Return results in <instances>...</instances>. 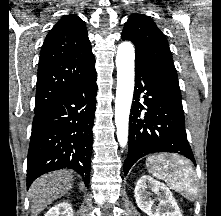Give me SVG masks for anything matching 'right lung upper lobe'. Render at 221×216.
Listing matches in <instances>:
<instances>
[{"label": "right lung upper lobe", "instance_id": "right-lung-upper-lobe-1", "mask_svg": "<svg viewBox=\"0 0 221 216\" xmlns=\"http://www.w3.org/2000/svg\"><path fill=\"white\" fill-rule=\"evenodd\" d=\"M96 75L85 23L66 15L50 30L38 66L35 111Z\"/></svg>", "mask_w": 221, "mask_h": 216}]
</instances>
